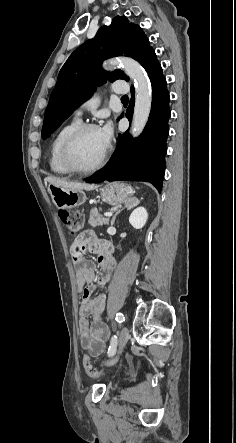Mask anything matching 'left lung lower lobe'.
I'll list each match as a JSON object with an SVG mask.
<instances>
[{"label":"left lung lower lobe","instance_id":"obj_1","mask_svg":"<svg viewBox=\"0 0 236 443\" xmlns=\"http://www.w3.org/2000/svg\"><path fill=\"white\" fill-rule=\"evenodd\" d=\"M151 80L152 104L148 122L138 138H132L126 131L119 134L118 146L109 164L86 179L87 183L107 181H146L160 192L165 171L166 139L169 133L170 117L169 93L155 51L151 49L142 65ZM131 100L126 111L132 120L134 108V87H131ZM124 114L121 115L122 118ZM118 118V120L120 119Z\"/></svg>","mask_w":236,"mask_h":443}]
</instances>
